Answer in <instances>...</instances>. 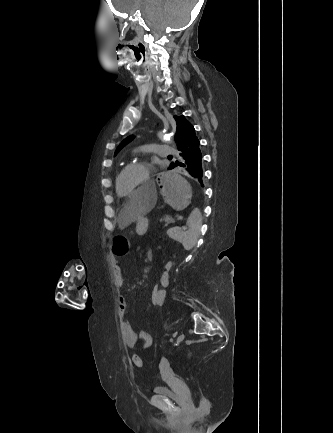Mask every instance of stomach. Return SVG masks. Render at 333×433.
<instances>
[{
  "label": "stomach",
  "mask_w": 333,
  "mask_h": 433,
  "mask_svg": "<svg viewBox=\"0 0 333 433\" xmlns=\"http://www.w3.org/2000/svg\"><path fill=\"white\" fill-rule=\"evenodd\" d=\"M156 181L160 185V192L168 204L169 210H187L190 199L193 198L191 186L185 176L179 174L178 169H165L164 174H157ZM147 218L142 216L137 220V231L140 227L148 228Z\"/></svg>",
  "instance_id": "0dacf381"
}]
</instances>
